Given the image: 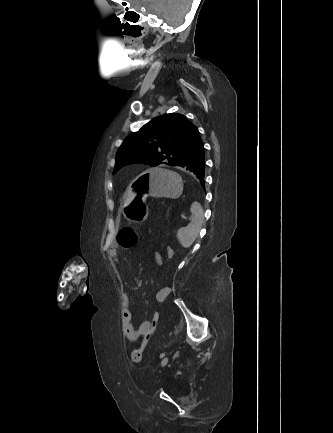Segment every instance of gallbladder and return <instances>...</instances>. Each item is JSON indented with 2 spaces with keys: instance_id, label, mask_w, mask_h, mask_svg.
I'll return each mask as SVG.
<instances>
[{
  "instance_id": "bac80fb5",
  "label": "gallbladder",
  "mask_w": 333,
  "mask_h": 433,
  "mask_svg": "<svg viewBox=\"0 0 333 433\" xmlns=\"http://www.w3.org/2000/svg\"><path fill=\"white\" fill-rule=\"evenodd\" d=\"M106 14H103L102 16H100V18H105Z\"/></svg>"
}]
</instances>
